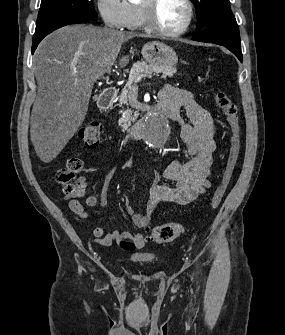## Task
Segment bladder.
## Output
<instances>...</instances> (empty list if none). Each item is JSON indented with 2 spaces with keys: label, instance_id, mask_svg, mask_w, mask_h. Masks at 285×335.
<instances>
[{
  "label": "bladder",
  "instance_id": "31cf9c89",
  "mask_svg": "<svg viewBox=\"0 0 285 335\" xmlns=\"http://www.w3.org/2000/svg\"><path fill=\"white\" fill-rule=\"evenodd\" d=\"M133 265H152V258H133Z\"/></svg>",
  "mask_w": 285,
  "mask_h": 335
}]
</instances>
